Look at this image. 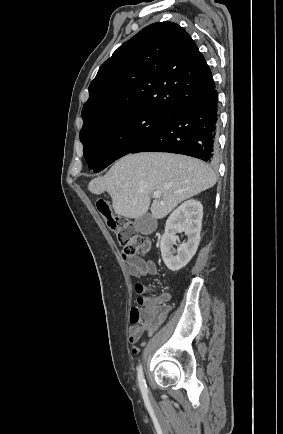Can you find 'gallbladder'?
<instances>
[{"mask_svg":"<svg viewBox=\"0 0 283 434\" xmlns=\"http://www.w3.org/2000/svg\"><path fill=\"white\" fill-rule=\"evenodd\" d=\"M134 226L141 234L149 235L156 229L157 222L149 213H146L135 219Z\"/></svg>","mask_w":283,"mask_h":434,"instance_id":"obj_1","label":"gallbladder"}]
</instances>
